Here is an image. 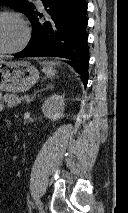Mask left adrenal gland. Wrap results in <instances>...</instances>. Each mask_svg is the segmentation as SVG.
Wrapping results in <instances>:
<instances>
[{"instance_id": "1", "label": "left adrenal gland", "mask_w": 128, "mask_h": 213, "mask_svg": "<svg viewBox=\"0 0 128 213\" xmlns=\"http://www.w3.org/2000/svg\"><path fill=\"white\" fill-rule=\"evenodd\" d=\"M52 87H53V86H52L51 84H50V85H47V87H46L45 89H41L40 91H37L36 93L41 92V91H44V90L51 89ZM36 93L32 96L31 99L27 100V103H30V102L33 100V98L35 97Z\"/></svg>"}]
</instances>
